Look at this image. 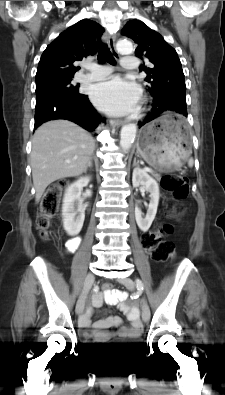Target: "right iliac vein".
I'll list each match as a JSON object with an SVG mask.
<instances>
[{
	"instance_id": "obj_1",
	"label": "right iliac vein",
	"mask_w": 225,
	"mask_h": 395,
	"mask_svg": "<svg viewBox=\"0 0 225 395\" xmlns=\"http://www.w3.org/2000/svg\"><path fill=\"white\" fill-rule=\"evenodd\" d=\"M93 281H94V275L92 273H89L85 279L82 292H81L80 297H79L77 304H76V313L78 315H80L84 310L85 300H86L89 290L92 287Z\"/></svg>"
}]
</instances>
